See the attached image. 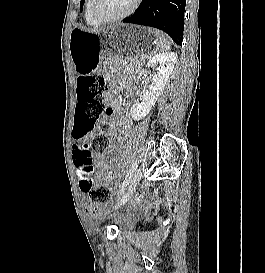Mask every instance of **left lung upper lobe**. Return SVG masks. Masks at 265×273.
<instances>
[{
    "label": "left lung upper lobe",
    "instance_id": "1",
    "mask_svg": "<svg viewBox=\"0 0 265 273\" xmlns=\"http://www.w3.org/2000/svg\"><path fill=\"white\" fill-rule=\"evenodd\" d=\"M83 3H84V0H81V2H80V10H81L82 7H83Z\"/></svg>",
    "mask_w": 265,
    "mask_h": 273
}]
</instances>
